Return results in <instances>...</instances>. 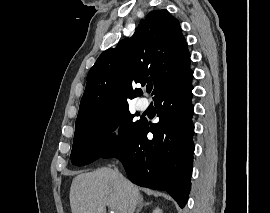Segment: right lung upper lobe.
<instances>
[{
  "instance_id": "right-lung-upper-lobe-1",
  "label": "right lung upper lobe",
  "mask_w": 270,
  "mask_h": 213,
  "mask_svg": "<svg viewBox=\"0 0 270 213\" xmlns=\"http://www.w3.org/2000/svg\"><path fill=\"white\" fill-rule=\"evenodd\" d=\"M190 69V54L176 18L154 10L131 38L104 51L90 69L76 122L117 107L142 94L132 84L154 83L152 95Z\"/></svg>"
}]
</instances>
